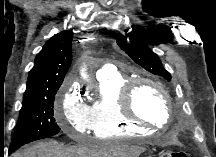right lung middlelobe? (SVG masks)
I'll return each mask as SVG.
<instances>
[{"label": "right lung middle lobe", "instance_id": "right-lung-middle-lobe-1", "mask_svg": "<svg viewBox=\"0 0 216 157\" xmlns=\"http://www.w3.org/2000/svg\"><path fill=\"white\" fill-rule=\"evenodd\" d=\"M56 92L23 98L10 149L15 150L29 142L54 136L60 131L53 111Z\"/></svg>", "mask_w": 216, "mask_h": 157}]
</instances>
